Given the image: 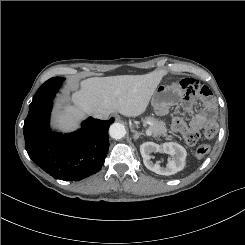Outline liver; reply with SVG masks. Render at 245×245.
Returning <instances> with one entry per match:
<instances>
[{
    "mask_svg": "<svg viewBox=\"0 0 245 245\" xmlns=\"http://www.w3.org/2000/svg\"><path fill=\"white\" fill-rule=\"evenodd\" d=\"M166 75L157 70L144 75L94 77L81 81V89L72 95L74 106H62L56 123L62 129H73L86 114L120 113L127 117L143 114Z\"/></svg>",
    "mask_w": 245,
    "mask_h": 245,
    "instance_id": "1",
    "label": "liver"
}]
</instances>
